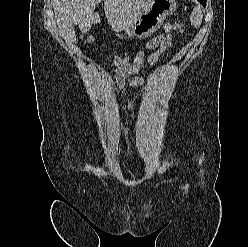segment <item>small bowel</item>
I'll use <instances>...</instances> for the list:
<instances>
[{
    "label": "small bowel",
    "mask_w": 248,
    "mask_h": 247,
    "mask_svg": "<svg viewBox=\"0 0 248 247\" xmlns=\"http://www.w3.org/2000/svg\"><path fill=\"white\" fill-rule=\"evenodd\" d=\"M171 47L170 37L159 36L151 39L144 50L135 53V60L131 62L128 54L124 56H115L114 58V82L116 92H120L125 85L139 86L145 82V78L137 75L139 63L145 61L148 64H155L159 60L162 53ZM154 50L153 52H148ZM117 107L124 112L134 110L137 105L135 103L118 102Z\"/></svg>",
    "instance_id": "1"
}]
</instances>
